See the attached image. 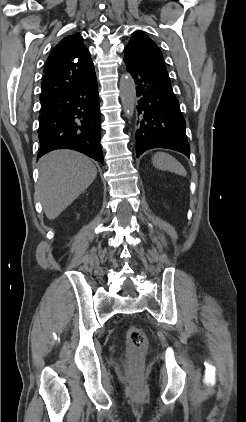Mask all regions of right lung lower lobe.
<instances>
[{
	"instance_id": "1",
	"label": "right lung lower lobe",
	"mask_w": 246,
	"mask_h": 422,
	"mask_svg": "<svg viewBox=\"0 0 246 422\" xmlns=\"http://www.w3.org/2000/svg\"><path fill=\"white\" fill-rule=\"evenodd\" d=\"M101 116L96 76L41 103L38 157L55 149H73L103 163Z\"/></svg>"
}]
</instances>
